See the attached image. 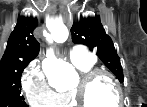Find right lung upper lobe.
Segmentation results:
<instances>
[{"label":"right lung upper lobe","mask_w":147,"mask_h":107,"mask_svg":"<svg viewBox=\"0 0 147 107\" xmlns=\"http://www.w3.org/2000/svg\"><path fill=\"white\" fill-rule=\"evenodd\" d=\"M37 25V19L18 18L0 62V76L18 71L36 58L40 46L33 36V30Z\"/></svg>","instance_id":"right-lung-upper-lobe-1"}]
</instances>
